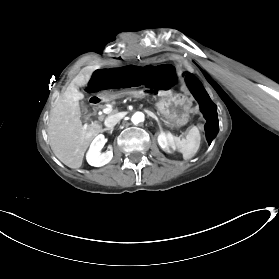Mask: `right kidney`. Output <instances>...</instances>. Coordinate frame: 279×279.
Instances as JSON below:
<instances>
[{"mask_svg":"<svg viewBox=\"0 0 279 279\" xmlns=\"http://www.w3.org/2000/svg\"><path fill=\"white\" fill-rule=\"evenodd\" d=\"M105 144V137L103 134H99L92 141L90 148L86 154V160L91 166L100 167L109 163L113 157L112 148L110 150L101 153V149Z\"/></svg>","mask_w":279,"mask_h":279,"instance_id":"ca27d5eb","label":"right kidney"}]
</instances>
